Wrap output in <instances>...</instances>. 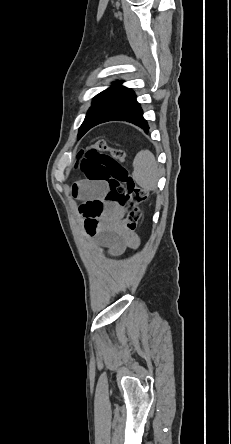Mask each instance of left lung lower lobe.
Here are the masks:
<instances>
[{"mask_svg": "<svg viewBox=\"0 0 231 444\" xmlns=\"http://www.w3.org/2000/svg\"><path fill=\"white\" fill-rule=\"evenodd\" d=\"M114 120L131 122L145 130V132H148L149 129L146 120L143 118L142 109L140 107V104L136 101L135 95L124 104V106L116 115L112 117H107L95 124H92L89 129L97 124Z\"/></svg>", "mask_w": 231, "mask_h": 444, "instance_id": "obj_1", "label": "left lung lower lobe"}]
</instances>
